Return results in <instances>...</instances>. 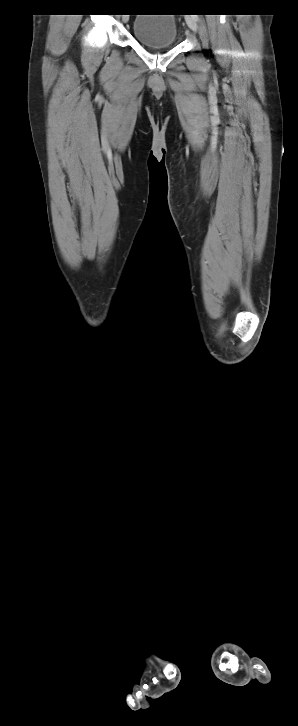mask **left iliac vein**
<instances>
[{
    "mask_svg": "<svg viewBox=\"0 0 298 726\" xmlns=\"http://www.w3.org/2000/svg\"><path fill=\"white\" fill-rule=\"evenodd\" d=\"M186 23H187L188 27H189V28H190V29H191L192 31H197V22H196V20H195L194 16H188V17L186 18Z\"/></svg>",
    "mask_w": 298,
    "mask_h": 726,
    "instance_id": "left-iliac-vein-1",
    "label": "left iliac vein"
}]
</instances>
